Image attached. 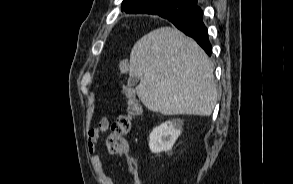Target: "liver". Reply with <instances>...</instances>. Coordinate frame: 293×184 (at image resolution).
Masks as SVG:
<instances>
[{"label": "liver", "instance_id": "liver-1", "mask_svg": "<svg viewBox=\"0 0 293 184\" xmlns=\"http://www.w3.org/2000/svg\"><path fill=\"white\" fill-rule=\"evenodd\" d=\"M130 77L150 111L163 115H211L217 101L213 66L203 49L181 31L161 27L139 39L130 54Z\"/></svg>", "mask_w": 293, "mask_h": 184}]
</instances>
